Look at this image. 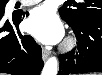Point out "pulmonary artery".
Returning <instances> with one entry per match:
<instances>
[{"label": "pulmonary artery", "mask_w": 102, "mask_h": 75, "mask_svg": "<svg viewBox=\"0 0 102 75\" xmlns=\"http://www.w3.org/2000/svg\"><path fill=\"white\" fill-rule=\"evenodd\" d=\"M41 0H36V1H34V2H40ZM27 2H31V1H27Z\"/></svg>", "instance_id": "1"}]
</instances>
